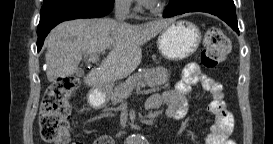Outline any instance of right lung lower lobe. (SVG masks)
I'll return each instance as SVG.
<instances>
[{
  "label": "right lung lower lobe",
  "mask_w": 273,
  "mask_h": 144,
  "mask_svg": "<svg viewBox=\"0 0 273 144\" xmlns=\"http://www.w3.org/2000/svg\"><path fill=\"white\" fill-rule=\"evenodd\" d=\"M114 0H47L40 12L37 49L41 50L50 30L60 22L77 18L103 17L112 11Z\"/></svg>",
  "instance_id": "1"
}]
</instances>
